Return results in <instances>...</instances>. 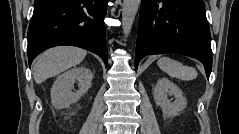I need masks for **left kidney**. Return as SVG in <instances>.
Listing matches in <instances>:
<instances>
[{
  "label": "left kidney",
  "mask_w": 239,
  "mask_h": 134,
  "mask_svg": "<svg viewBox=\"0 0 239 134\" xmlns=\"http://www.w3.org/2000/svg\"><path fill=\"white\" fill-rule=\"evenodd\" d=\"M155 103L162 108L163 115L166 117L177 116L187 106V100L183 92L169 79L160 78L153 88ZM174 96L172 102L168 96Z\"/></svg>",
  "instance_id": "1"
}]
</instances>
